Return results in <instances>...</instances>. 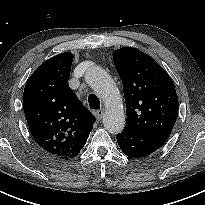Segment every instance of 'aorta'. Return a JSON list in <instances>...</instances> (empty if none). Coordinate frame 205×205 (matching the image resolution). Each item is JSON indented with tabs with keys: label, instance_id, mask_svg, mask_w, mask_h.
<instances>
[{
	"label": "aorta",
	"instance_id": "obj_1",
	"mask_svg": "<svg viewBox=\"0 0 205 205\" xmlns=\"http://www.w3.org/2000/svg\"><path fill=\"white\" fill-rule=\"evenodd\" d=\"M85 79L105 104L106 110L103 116L105 129L113 134L120 133L125 126V113L120 93L113 79L99 66L89 68Z\"/></svg>",
	"mask_w": 205,
	"mask_h": 205
}]
</instances>
